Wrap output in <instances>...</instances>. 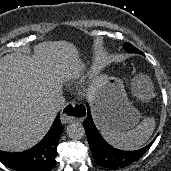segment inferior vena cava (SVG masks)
<instances>
[{
	"instance_id": "602c4592",
	"label": "inferior vena cava",
	"mask_w": 171,
	"mask_h": 171,
	"mask_svg": "<svg viewBox=\"0 0 171 171\" xmlns=\"http://www.w3.org/2000/svg\"><path fill=\"white\" fill-rule=\"evenodd\" d=\"M65 102H66V100L64 97H59L53 106L54 110L59 111L61 108L64 107Z\"/></svg>"
}]
</instances>
